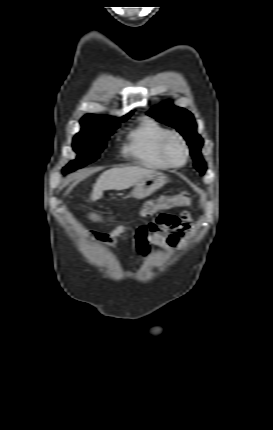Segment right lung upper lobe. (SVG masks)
Instances as JSON below:
<instances>
[{
  "label": "right lung upper lobe",
  "instance_id": "1",
  "mask_svg": "<svg viewBox=\"0 0 273 430\" xmlns=\"http://www.w3.org/2000/svg\"><path fill=\"white\" fill-rule=\"evenodd\" d=\"M132 113L133 112H130L120 119L111 116L87 114L82 118L81 122L86 124L116 125L119 124V121L129 117Z\"/></svg>",
  "mask_w": 273,
  "mask_h": 430
}]
</instances>
